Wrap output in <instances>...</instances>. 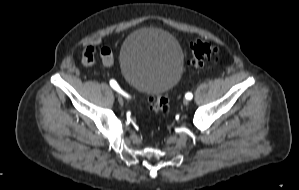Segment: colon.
Masks as SVG:
<instances>
[{
	"instance_id": "obj_1",
	"label": "colon",
	"mask_w": 299,
	"mask_h": 190,
	"mask_svg": "<svg viewBox=\"0 0 299 190\" xmlns=\"http://www.w3.org/2000/svg\"><path fill=\"white\" fill-rule=\"evenodd\" d=\"M220 60V52L216 46L208 42L196 41L192 46V56L189 62L190 67L197 68L208 62H218ZM84 64L91 65L93 59L86 56L83 59ZM150 108L155 114L168 112L169 98L167 95H158L150 98Z\"/></svg>"
}]
</instances>
